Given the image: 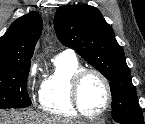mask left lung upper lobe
<instances>
[{
	"label": "left lung upper lobe",
	"mask_w": 145,
	"mask_h": 124,
	"mask_svg": "<svg viewBox=\"0 0 145 124\" xmlns=\"http://www.w3.org/2000/svg\"><path fill=\"white\" fill-rule=\"evenodd\" d=\"M54 28L63 45L74 49L110 81L114 121L144 124L123 48L100 11L89 5L60 6Z\"/></svg>",
	"instance_id": "1"
}]
</instances>
